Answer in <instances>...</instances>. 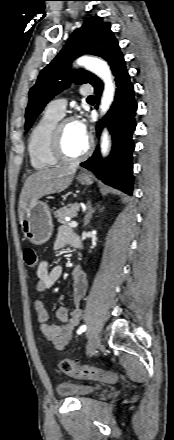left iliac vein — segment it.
<instances>
[{
  "mask_svg": "<svg viewBox=\"0 0 174 440\" xmlns=\"http://www.w3.org/2000/svg\"><path fill=\"white\" fill-rule=\"evenodd\" d=\"M100 337L97 335L92 341L87 345V353L92 354L100 346Z\"/></svg>",
  "mask_w": 174,
  "mask_h": 440,
  "instance_id": "left-iliac-vein-1",
  "label": "left iliac vein"
}]
</instances>
